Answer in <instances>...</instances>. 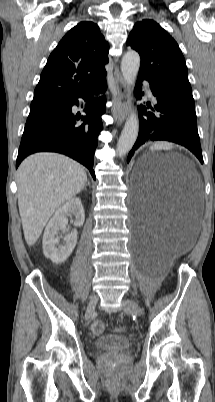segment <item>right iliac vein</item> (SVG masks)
Segmentation results:
<instances>
[{"label": "right iliac vein", "mask_w": 215, "mask_h": 402, "mask_svg": "<svg viewBox=\"0 0 215 402\" xmlns=\"http://www.w3.org/2000/svg\"><path fill=\"white\" fill-rule=\"evenodd\" d=\"M97 302H98V297L96 295H94L90 298L89 304L86 309V317L87 318L93 314L95 307L97 305Z\"/></svg>", "instance_id": "1"}]
</instances>
